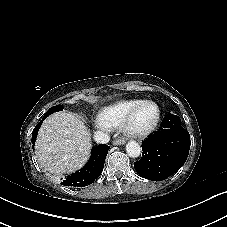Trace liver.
Masks as SVG:
<instances>
[{
  "instance_id": "liver-1",
  "label": "liver",
  "mask_w": 227,
  "mask_h": 227,
  "mask_svg": "<svg viewBox=\"0 0 227 227\" xmlns=\"http://www.w3.org/2000/svg\"><path fill=\"white\" fill-rule=\"evenodd\" d=\"M91 136L82 120L71 112H57L42 124L35 144L38 163L62 175L83 167L90 157Z\"/></svg>"
}]
</instances>
